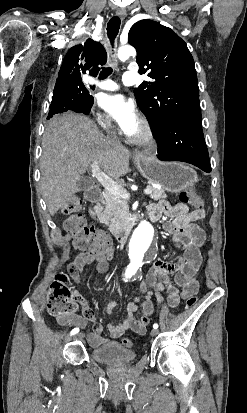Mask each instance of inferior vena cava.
<instances>
[{"label": "inferior vena cava", "mask_w": 247, "mask_h": 413, "mask_svg": "<svg viewBox=\"0 0 247 413\" xmlns=\"http://www.w3.org/2000/svg\"><path fill=\"white\" fill-rule=\"evenodd\" d=\"M117 132L115 130H109L108 132V142H120L118 136H116Z\"/></svg>", "instance_id": "inferior-vena-cava-1"}]
</instances>
